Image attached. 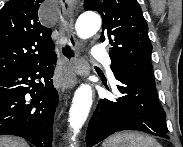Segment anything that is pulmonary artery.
<instances>
[{
	"label": "pulmonary artery",
	"instance_id": "1",
	"mask_svg": "<svg viewBox=\"0 0 183 147\" xmlns=\"http://www.w3.org/2000/svg\"><path fill=\"white\" fill-rule=\"evenodd\" d=\"M91 56L93 58L99 59V60L104 59L105 68L111 73L110 60L107 59V54L101 46H99V45L94 46L91 50Z\"/></svg>",
	"mask_w": 183,
	"mask_h": 147
}]
</instances>
